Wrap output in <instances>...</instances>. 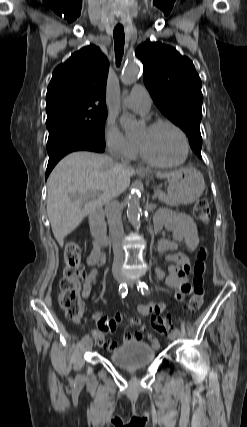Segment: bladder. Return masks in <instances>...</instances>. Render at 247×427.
Segmentation results:
<instances>
[{"label":"bladder","instance_id":"bladder-1","mask_svg":"<svg viewBox=\"0 0 247 427\" xmlns=\"http://www.w3.org/2000/svg\"><path fill=\"white\" fill-rule=\"evenodd\" d=\"M156 356V350L150 345L132 341L124 343L114 349L110 355V361L124 369H137L150 364Z\"/></svg>","mask_w":247,"mask_h":427}]
</instances>
